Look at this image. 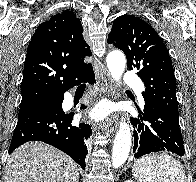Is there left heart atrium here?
<instances>
[{"label":"left heart atrium","mask_w":196,"mask_h":182,"mask_svg":"<svg viewBox=\"0 0 196 182\" xmlns=\"http://www.w3.org/2000/svg\"><path fill=\"white\" fill-rule=\"evenodd\" d=\"M108 107L104 104L99 105L98 107H96L93 111H92V116L95 119H103L107 116L108 114Z\"/></svg>","instance_id":"obj_1"}]
</instances>
